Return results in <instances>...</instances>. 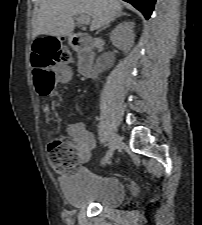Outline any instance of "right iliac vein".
I'll list each match as a JSON object with an SVG mask.
<instances>
[{"label":"right iliac vein","instance_id":"63e3f726","mask_svg":"<svg viewBox=\"0 0 202 225\" xmlns=\"http://www.w3.org/2000/svg\"><path fill=\"white\" fill-rule=\"evenodd\" d=\"M121 142L120 137L117 134H113L110 138V148L108 151V156L111 157L113 155V152L117 149Z\"/></svg>","mask_w":202,"mask_h":225}]
</instances>
